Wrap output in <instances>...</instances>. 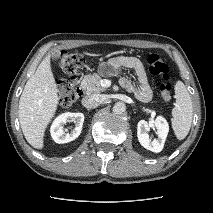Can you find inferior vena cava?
Listing matches in <instances>:
<instances>
[{
	"instance_id": "602c4592",
	"label": "inferior vena cava",
	"mask_w": 213,
	"mask_h": 213,
	"mask_svg": "<svg viewBox=\"0 0 213 213\" xmlns=\"http://www.w3.org/2000/svg\"><path fill=\"white\" fill-rule=\"evenodd\" d=\"M106 100L105 95L102 94H91L87 95L82 99V105L87 109L96 108Z\"/></svg>"
}]
</instances>
